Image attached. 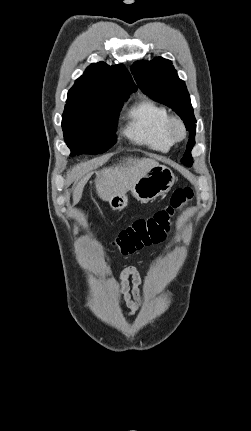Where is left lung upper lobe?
I'll return each mask as SVG.
<instances>
[{"label":"left lung upper lobe","mask_w":251,"mask_h":431,"mask_svg":"<svg viewBox=\"0 0 251 431\" xmlns=\"http://www.w3.org/2000/svg\"><path fill=\"white\" fill-rule=\"evenodd\" d=\"M139 88L153 100L172 108L190 131L187 148L181 162L192 165L191 150L195 144L196 120L185 82L178 78L170 60L156 57L135 62L131 68Z\"/></svg>","instance_id":"5c2ea615"}]
</instances>
